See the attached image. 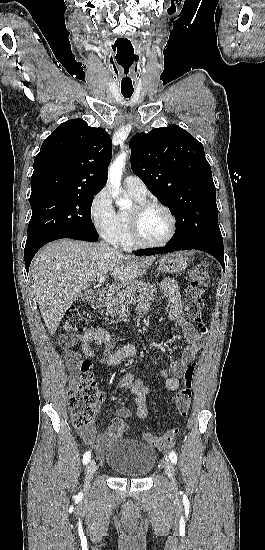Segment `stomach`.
Masks as SVG:
<instances>
[{"instance_id":"obj_1","label":"stomach","mask_w":265,"mask_h":550,"mask_svg":"<svg viewBox=\"0 0 265 550\" xmlns=\"http://www.w3.org/2000/svg\"><path fill=\"white\" fill-rule=\"evenodd\" d=\"M158 270L163 273L175 274L185 270L190 261L182 253L164 255L159 259Z\"/></svg>"}]
</instances>
